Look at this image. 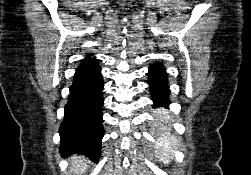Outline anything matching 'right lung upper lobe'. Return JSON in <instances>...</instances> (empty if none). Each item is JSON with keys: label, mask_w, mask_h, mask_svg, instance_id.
<instances>
[{"label": "right lung upper lobe", "mask_w": 251, "mask_h": 175, "mask_svg": "<svg viewBox=\"0 0 251 175\" xmlns=\"http://www.w3.org/2000/svg\"><path fill=\"white\" fill-rule=\"evenodd\" d=\"M84 60H89V58L87 57V58H85ZM84 60H83V61H84Z\"/></svg>", "instance_id": "right-lung-upper-lobe-1"}]
</instances>
